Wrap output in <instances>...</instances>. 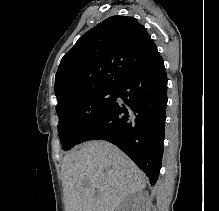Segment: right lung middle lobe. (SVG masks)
<instances>
[{
    "label": "right lung middle lobe",
    "mask_w": 219,
    "mask_h": 211,
    "mask_svg": "<svg viewBox=\"0 0 219 211\" xmlns=\"http://www.w3.org/2000/svg\"><path fill=\"white\" fill-rule=\"evenodd\" d=\"M115 101V87H100L59 103L58 134L65 150L78 144L82 134L101 118Z\"/></svg>",
    "instance_id": "obj_1"
}]
</instances>
